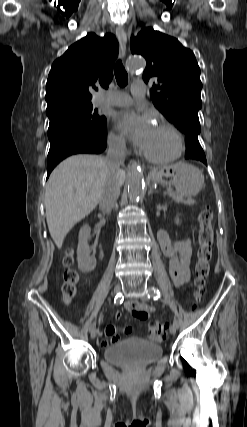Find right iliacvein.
I'll return each instance as SVG.
<instances>
[{
  "label": "right iliac vein",
  "instance_id": "right-iliac-vein-1",
  "mask_svg": "<svg viewBox=\"0 0 247 427\" xmlns=\"http://www.w3.org/2000/svg\"><path fill=\"white\" fill-rule=\"evenodd\" d=\"M120 291H121V285L118 283L114 287V293L118 294V293H120ZM97 335H98V329L96 327L92 328L90 330V336H91V338L94 339Z\"/></svg>",
  "mask_w": 247,
  "mask_h": 427
}]
</instances>
